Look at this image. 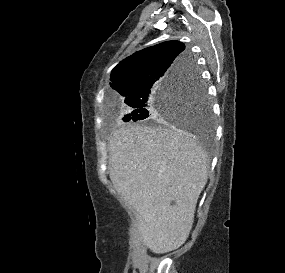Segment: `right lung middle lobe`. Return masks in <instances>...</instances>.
<instances>
[{
	"label": "right lung middle lobe",
	"mask_w": 285,
	"mask_h": 273,
	"mask_svg": "<svg viewBox=\"0 0 285 273\" xmlns=\"http://www.w3.org/2000/svg\"><path fill=\"white\" fill-rule=\"evenodd\" d=\"M125 103L130 107V112L123 118L124 121L146 118L173 120L199 129H207L211 125L207 90L195 66Z\"/></svg>",
	"instance_id": "dd1d6c3e"
}]
</instances>
